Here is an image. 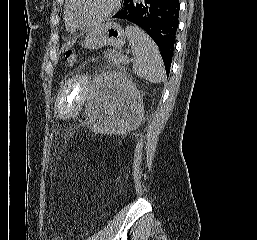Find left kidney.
<instances>
[{
  "mask_svg": "<svg viewBox=\"0 0 257 240\" xmlns=\"http://www.w3.org/2000/svg\"><path fill=\"white\" fill-rule=\"evenodd\" d=\"M87 111L95 132L121 135L140 124L143 100L132 80L123 72L99 75L92 84Z\"/></svg>",
  "mask_w": 257,
  "mask_h": 240,
  "instance_id": "obj_1",
  "label": "left kidney"
}]
</instances>
